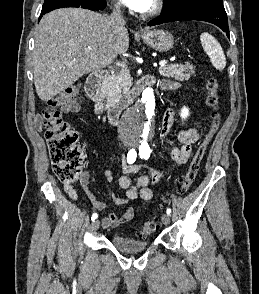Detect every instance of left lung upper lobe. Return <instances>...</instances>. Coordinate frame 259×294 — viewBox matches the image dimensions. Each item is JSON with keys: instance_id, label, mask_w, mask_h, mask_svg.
Masks as SVG:
<instances>
[{"instance_id": "1", "label": "left lung upper lobe", "mask_w": 259, "mask_h": 294, "mask_svg": "<svg viewBox=\"0 0 259 294\" xmlns=\"http://www.w3.org/2000/svg\"><path fill=\"white\" fill-rule=\"evenodd\" d=\"M202 1H213L217 3H223V0H164V7L161 14L174 12Z\"/></svg>"}]
</instances>
